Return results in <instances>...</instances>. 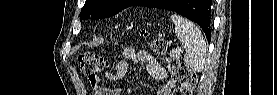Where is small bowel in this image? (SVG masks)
Here are the masks:
<instances>
[{
	"instance_id": "1",
	"label": "small bowel",
	"mask_w": 277,
	"mask_h": 95,
	"mask_svg": "<svg viewBox=\"0 0 277 95\" xmlns=\"http://www.w3.org/2000/svg\"><path fill=\"white\" fill-rule=\"evenodd\" d=\"M137 61L145 62L147 66L148 73L155 78L163 80L158 90V95H171L172 89L175 87V81L172 76L161 66L160 62L149 55L145 51H136L133 47H127L123 51L122 61L116 66L114 72H108L106 74V79L109 81H118L122 79L128 68V62ZM90 85L95 95H118L117 89H110L103 85L102 79L100 77H94L90 79Z\"/></svg>"
}]
</instances>
